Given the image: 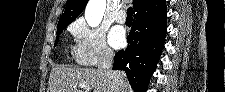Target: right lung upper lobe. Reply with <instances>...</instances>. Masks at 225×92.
Wrapping results in <instances>:
<instances>
[{
  "label": "right lung upper lobe",
  "instance_id": "1",
  "mask_svg": "<svg viewBox=\"0 0 225 92\" xmlns=\"http://www.w3.org/2000/svg\"><path fill=\"white\" fill-rule=\"evenodd\" d=\"M88 0H68L64 13L59 19L60 23H71L83 11ZM134 18L152 17L166 10L165 0H133Z\"/></svg>",
  "mask_w": 225,
  "mask_h": 92
}]
</instances>
